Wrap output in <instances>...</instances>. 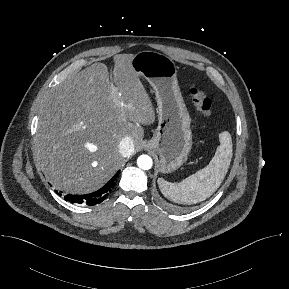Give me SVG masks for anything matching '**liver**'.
I'll return each mask as SVG.
<instances>
[{
    "label": "liver",
    "mask_w": 289,
    "mask_h": 289,
    "mask_svg": "<svg viewBox=\"0 0 289 289\" xmlns=\"http://www.w3.org/2000/svg\"><path fill=\"white\" fill-rule=\"evenodd\" d=\"M133 55L114 57L113 77L103 63L68 76L53 88L40 111L35 155L50 183L71 194L101 188L123 163L121 139L140 147L143 126L155 112Z\"/></svg>",
    "instance_id": "1"
}]
</instances>
